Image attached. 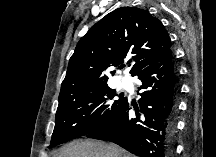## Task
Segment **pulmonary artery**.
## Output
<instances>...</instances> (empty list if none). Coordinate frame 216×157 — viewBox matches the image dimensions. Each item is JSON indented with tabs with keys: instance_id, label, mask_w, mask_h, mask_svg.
I'll list each match as a JSON object with an SVG mask.
<instances>
[{
	"instance_id": "obj_1",
	"label": "pulmonary artery",
	"mask_w": 216,
	"mask_h": 157,
	"mask_svg": "<svg viewBox=\"0 0 216 157\" xmlns=\"http://www.w3.org/2000/svg\"><path fill=\"white\" fill-rule=\"evenodd\" d=\"M120 85H121L123 88L128 89V88H130L131 83H130L129 79L123 77V78H121V80H120Z\"/></svg>"
}]
</instances>
